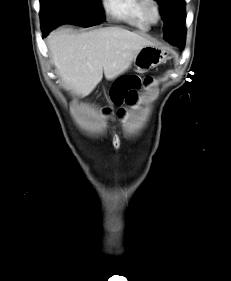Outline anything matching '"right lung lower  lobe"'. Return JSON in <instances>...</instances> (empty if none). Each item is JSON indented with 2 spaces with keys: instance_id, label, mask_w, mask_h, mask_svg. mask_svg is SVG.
Returning a JSON list of instances; mask_svg holds the SVG:
<instances>
[{
  "instance_id": "right-lung-lower-lobe-1",
  "label": "right lung lower lobe",
  "mask_w": 231,
  "mask_h": 281,
  "mask_svg": "<svg viewBox=\"0 0 231 281\" xmlns=\"http://www.w3.org/2000/svg\"><path fill=\"white\" fill-rule=\"evenodd\" d=\"M51 30H53V28H43L42 27L43 36L46 37Z\"/></svg>"
}]
</instances>
